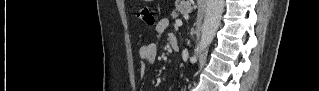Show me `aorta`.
<instances>
[{
  "instance_id": "762f6f07",
  "label": "aorta",
  "mask_w": 319,
  "mask_h": 91,
  "mask_svg": "<svg viewBox=\"0 0 319 91\" xmlns=\"http://www.w3.org/2000/svg\"><path fill=\"white\" fill-rule=\"evenodd\" d=\"M224 3V0H207L206 12L201 30V39L195 49V55L191 58L192 61H196L198 54L213 41L220 25Z\"/></svg>"
}]
</instances>
